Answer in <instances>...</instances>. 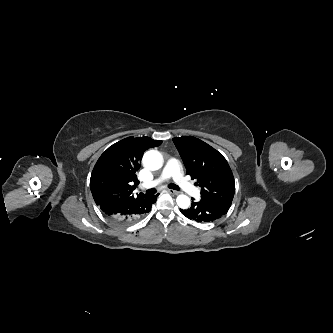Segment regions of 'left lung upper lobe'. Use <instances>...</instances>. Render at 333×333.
<instances>
[{
    "instance_id": "1",
    "label": "left lung upper lobe",
    "mask_w": 333,
    "mask_h": 333,
    "mask_svg": "<svg viewBox=\"0 0 333 333\" xmlns=\"http://www.w3.org/2000/svg\"><path fill=\"white\" fill-rule=\"evenodd\" d=\"M187 174L197 179L201 198L231 205L235 182L226 159L217 150L193 136L173 138Z\"/></svg>"
}]
</instances>
